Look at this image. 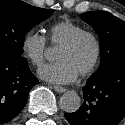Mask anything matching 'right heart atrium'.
Returning a JSON list of instances; mask_svg holds the SVG:
<instances>
[{
  "mask_svg": "<svg viewBox=\"0 0 125 125\" xmlns=\"http://www.w3.org/2000/svg\"><path fill=\"white\" fill-rule=\"evenodd\" d=\"M21 51L34 67H40L45 59L46 38L36 32H28L22 39Z\"/></svg>",
  "mask_w": 125,
  "mask_h": 125,
  "instance_id": "obj_1",
  "label": "right heart atrium"
}]
</instances>
